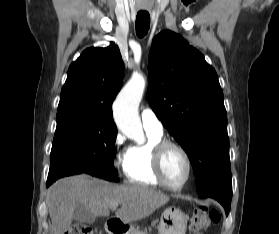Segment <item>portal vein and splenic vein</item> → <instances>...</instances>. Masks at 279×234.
<instances>
[{
  "label": "portal vein and splenic vein",
  "instance_id": "1",
  "mask_svg": "<svg viewBox=\"0 0 279 234\" xmlns=\"http://www.w3.org/2000/svg\"><path fill=\"white\" fill-rule=\"evenodd\" d=\"M111 206H112V208H117L118 204L117 203H113Z\"/></svg>",
  "mask_w": 279,
  "mask_h": 234
}]
</instances>
